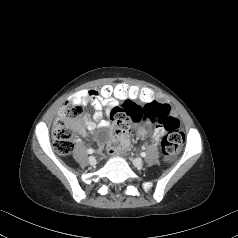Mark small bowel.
Listing matches in <instances>:
<instances>
[{
  "mask_svg": "<svg viewBox=\"0 0 238 238\" xmlns=\"http://www.w3.org/2000/svg\"><path fill=\"white\" fill-rule=\"evenodd\" d=\"M71 101L79 103L82 105L90 104L94 108L93 120L90 119V116L86 114L83 118V125L80 127V131L84 132L86 129L88 132H93L96 127L104 128L109 125L107 121L103 119L104 109H113L117 107V99H112L109 101L102 100L98 95V89L91 90H82L74 94L71 98ZM163 104V103H162ZM122 103L120 106H123ZM169 106V105H168ZM169 112L172 115V110L169 106ZM156 124V127L153 131V139L158 141L163 133V127L160 121L153 122ZM128 145V138H127Z\"/></svg>",
  "mask_w": 238,
  "mask_h": 238,
  "instance_id": "small-bowel-1",
  "label": "small bowel"
}]
</instances>
